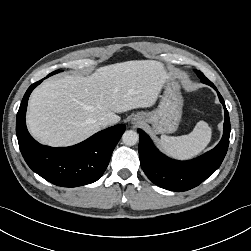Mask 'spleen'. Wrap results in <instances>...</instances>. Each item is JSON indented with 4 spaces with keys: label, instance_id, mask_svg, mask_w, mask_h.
<instances>
[{
    "label": "spleen",
    "instance_id": "3e777b00",
    "mask_svg": "<svg viewBox=\"0 0 251 251\" xmlns=\"http://www.w3.org/2000/svg\"><path fill=\"white\" fill-rule=\"evenodd\" d=\"M211 136V127L205 121H199L188 135L161 136L160 145L173 158L189 159L197 156L206 148Z\"/></svg>",
    "mask_w": 251,
    "mask_h": 251
}]
</instances>
